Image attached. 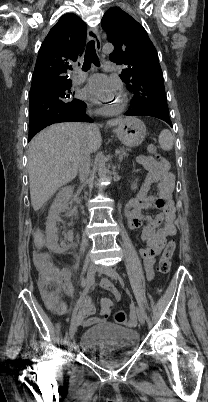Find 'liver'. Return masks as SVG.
<instances>
[{
  "instance_id": "6515ba94",
  "label": "liver",
  "mask_w": 208,
  "mask_h": 402,
  "mask_svg": "<svg viewBox=\"0 0 208 402\" xmlns=\"http://www.w3.org/2000/svg\"><path fill=\"white\" fill-rule=\"evenodd\" d=\"M122 120H110L108 126H117ZM85 138L90 152L102 144L96 124L81 132L80 124H53L42 130L30 142L28 172L31 204L37 212L57 192L58 188L74 180L78 172L77 154L80 140Z\"/></svg>"
}]
</instances>
